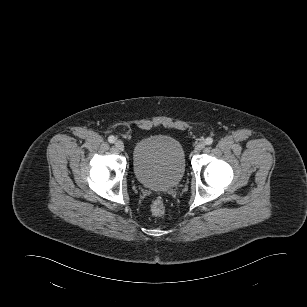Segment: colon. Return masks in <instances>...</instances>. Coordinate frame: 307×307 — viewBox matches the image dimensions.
I'll return each instance as SVG.
<instances>
[{"instance_id":"5ec220e1","label":"colon","mask_w":307,"mask_h":307,"mask_svg":"<svg viewBox=\"0 0 307 307\" xmlns=\"http://www.w3.org/2000/svg\"><path fill=\"white\" fill-rule=\"evenodd\" d=\"M151 212L155 216H161L165 213V204L161 199H156L151 205Z\"/></svg>"}]
</instances>
